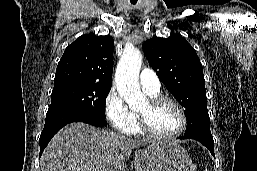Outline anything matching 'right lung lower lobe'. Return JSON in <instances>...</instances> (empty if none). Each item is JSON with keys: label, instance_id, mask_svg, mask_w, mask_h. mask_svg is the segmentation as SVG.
I'll use <instances>...</instances> for the list:
<instances>
[{"label": "right lung lower lobe", "instance_id": "98d812e1", "mask_svg": "<svg viewBox=\"0 0 257 171\" xmlns=\"http://www.w3.org/2000/svg\"><path fill=\"white\" fill-rule=\"evenodd\" d=\"M72 122H84L96 127L106 125L104 118L80 109H61L47 112L44 129L40 135V156L52 137L65 125Z\"/></svg>", "mask_w": 257, "mask_h": 171}]
</instances>
